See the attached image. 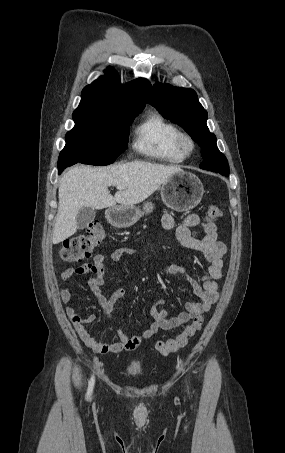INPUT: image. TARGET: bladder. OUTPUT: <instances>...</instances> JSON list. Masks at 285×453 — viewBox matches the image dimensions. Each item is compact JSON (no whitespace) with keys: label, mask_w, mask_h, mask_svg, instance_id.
<instances>
[{"label":"bladder","mask_w":285,"mask_h":453,"mask_svg":"<svg viewBox=\"0 0 285 453\" xmlns=\"http://www.w3.org/2000/svg\"><path fill=\"white\" fill-rule=\"evenodd\" d=\"M141 371H142V367H141V364L138 362H132L127 367V372L133 376L140 374Z\"/></svg>","instance_id":"obj_1"}]
</instances>
